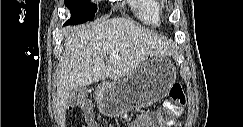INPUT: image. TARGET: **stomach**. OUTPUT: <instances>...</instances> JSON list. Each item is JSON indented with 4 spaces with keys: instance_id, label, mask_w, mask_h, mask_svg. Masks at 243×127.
I'll list each match as a JSON object with an SVG mask.
<instances>
[{
    "instance_id": "0dacf381",
    "label": "stomach",
    "mask_w": 243,
    "mask_h": 127,
    "mask_svg": "<svg viewBox=\"0 0 243 127\" xmlns=\"http://www.w3.org/2000/svg\"><path fill=\"white\" fill-rule=\"evenodd\" d=\"M176 79L171 60L154 54L143 60L124 79L102 82L95 99L105 116L118 118L131 110L152 105L164 98Z\"/></svg>"
}]
</instances>
